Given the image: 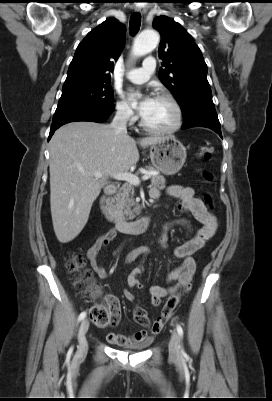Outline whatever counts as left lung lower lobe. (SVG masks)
I'll use <instances>...</instances> for the list:
<instances>
[{
    "label": "left lung lower lobe",
    "instance_id": "1",
    "mask_svg": "<svg viewBox=\"0 0 272 401\" xmlns=\"http://www.w3.org/2000/svg\"><path fill=\"white\" fill-rule=\"evenodd\" d=\"M191 127H207L215 131L222 138L220 122L215 108L199 109L184 116L183 129Z\"/></svg>",
    "mask_w": 272,
    "mask_h": 401
}]
</instances>
